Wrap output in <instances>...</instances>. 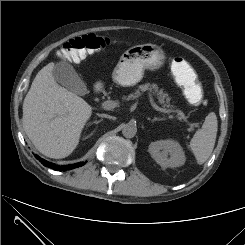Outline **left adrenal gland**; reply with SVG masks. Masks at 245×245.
<instances>
[{
  "label": "left adrenal gland",
  "mask_w": 245,
  "mask_h": 245,
  "mask_svg": "<svg viewBox=\"0 0 245 245\" xmlns=\"http://www.w3.org/2000/svg\"><path fill=\"white\" fill-rule=\"evenodd\" d=\"M156 120H163V118L154 117L152 121H156Z\"/></svg>",
  "instance_id": "1"
}]
</instances>
